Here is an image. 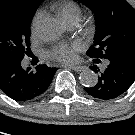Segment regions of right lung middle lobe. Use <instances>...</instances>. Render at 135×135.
Here are the masks:
<instances>
[{"label": "right lung middle lobe", "mask_w": 135, "mask_h": 135, "mask_svg": "<svg viewBox=\"0 0 135 135\" xmlns=\"http://www.w3.org/2000/svg\"><path fill=\"white\" fill-rule=\"evenodd\" d=\"M38 7L28 0H0V53L23 59L30 51V24Z\"/></svg>", "instance_id": "obj_1"}]
</instances>
